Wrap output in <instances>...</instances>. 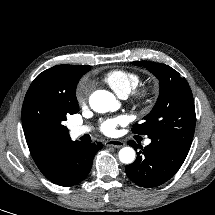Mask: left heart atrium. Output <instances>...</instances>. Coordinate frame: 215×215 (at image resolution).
<instances>
[{
    "label": "left heart atrium",
    "mask_w": 215,
    "mask_h": 215,
    "mask_svg": "<svg viewBox=\"0 0 215 215\" xmlns=\"http://www.w3.org/2000/svg\"><path fill=\"white\" fill-rule=\"evenodd\" d=\"M125 118L123 116L115 117V118H109L106 120H103L100 124L101 131L106 135H113L116 133V128L118 125L125 123Z\"/></svg>",
    "instance_id": "1"
}]
</instances>
